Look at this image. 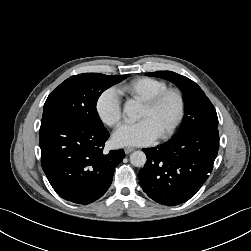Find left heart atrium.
Wrapping results in <instances>:
<instances>
[{
	"label": "left heart atrium",
	"instance_id": "1",
	"mask_svg": "<svg viewBox=\"0 0 251 251\" xmlns=\"http://www.w3.org/2000/svg\"><path fill=\"white\" fill-rule=\"evenodd\" d=\"M157 138L158 134L149 119L134 124H124L113 135V141L118 146L148 145Z\"/></svg>",
	"mask_w": 251,
	"mask_h": 251
}]
</instances>
